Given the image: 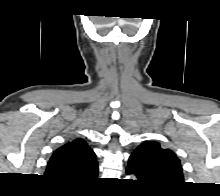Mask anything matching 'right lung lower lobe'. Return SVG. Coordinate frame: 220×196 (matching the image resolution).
<instances>
[{"instance_id":"98d812e1","label":"right lung lower lobe","mask_w":220,"mask_h":196,"mask_svg":"<svg viewBox=\"0 0 220 196\" xmlns=\"http://www.w3.org/2000/svg\"><path fill=\"white\" fill-rule=\"evenodd\" d=\"M59 184H62L64 186H81L82 184H66V183H61V182H57Z\"/></svg>"}]
</instances>
